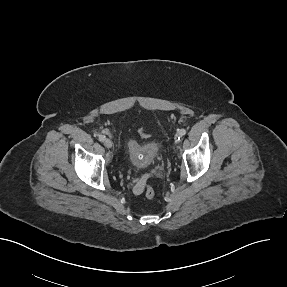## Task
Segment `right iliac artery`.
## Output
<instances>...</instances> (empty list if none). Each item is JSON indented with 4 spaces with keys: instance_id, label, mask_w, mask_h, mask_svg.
Wrapping results in <instances>:
<instances>
[{
    "instance_id": "1",
    "label": "right iliac artery",
    "mask_w": 287,
    "mask_h": 287,
    "mask_svg": "<svg viewBox=\"0 0 287 287\" xmlns=\"http://www.w3.org/2000/svg\"><path fill=\"white\" fill-rule=\"evenodd\" d=\"M98 139H99V141H104L105 140V136H103V135H98Z\"/></svg>"
}]
</instances>
